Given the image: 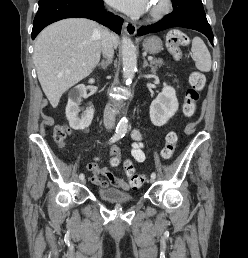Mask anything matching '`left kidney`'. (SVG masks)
Returning <instances> with one entry per match:
<instances>
[{"instance_id": "left-kidney-1", "label": "left kidney", "mask_w": 248, "mask_h": 258, "mask_svg": "<svg viewBox=\"0 0 248 258\" xmlns=\"http://www.w3.org/2000/svg\"><path fill=\"white\" fill-rule=\"evenodd\" d=\"M178 100L175 89L165 86L150 105V119L153 125L161 127L175 115L178 110Z\"/></svg>"}]
</instances>
